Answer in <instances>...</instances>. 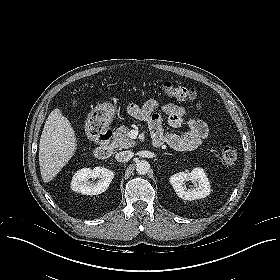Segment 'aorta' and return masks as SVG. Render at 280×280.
<instances>
[{
	"label": "aorta",
	"instance_id": "1",
	"mask_svg": "<svg viewBox=\"0 0 280 280\" xmlns=\"http://www.w3.org/2000/svg\"><path fill=\"white\" fill-rule=\"evenodd\" d=\"M149 169H150V164L146 160H141V161L137 162V164H136V171L140 175L147 174Z\"/></svg>",
	"mask_w": 280,
	"mask_h": 280
}]
</instances>
